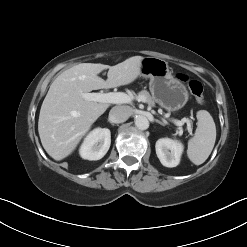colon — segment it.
Wrapping results in <instances>:
<instances>
[{
    "mask_svg": "<svg viewBox=\"0 0 247 247\" xmlns=\"http://www.w3.org/2000/svg\"><path fill=\"white\" fill-rule=\"evenodd\" d=\"M178 79L187 85L189 91L192 93L198 103H203L204 88L201 82H199L198 80L190 79L184 74H179Z\"/></svg>",
    "mask_w": 247,
    "mask_h": 247,
    "instance_id": "1",
    "label": "colon"
}]
</instances>
